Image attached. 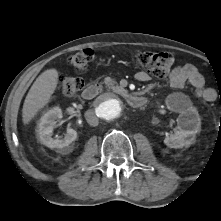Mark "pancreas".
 Instances as JSON below:
<instances>
[{"mask_svg": "<svg viewBox=\"0 0 221 221\" xmlns=\"http://www.w3.org/2000/svg\"><path fill=\"white\" fill-rule=\"evenodd\" d=\"M104 83L110 88L118 87L117 83L113 81L111 78H105Z\"/></svg>", "mask_w": 221, "mask_h": 221, "instance_id": "obj_1", "label": "pancreas"}]
</instances>
